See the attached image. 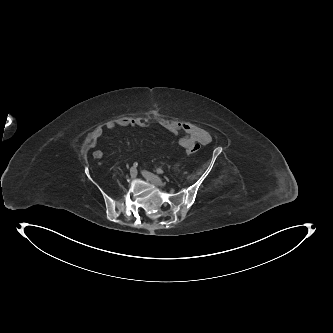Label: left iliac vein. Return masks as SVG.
<instances>
[{"instance_id": "4c4485c4", "label": "left iliac vein", "mask_w": 333, "mask_h": 333, "mask_svg": "<svg viewBox=\"0 0 333 333\" xmlns=\"http://www.w3.org/2000/svg\"><path fill=\"white\" fill-rule=\"evenodd\" d=\"M142 175L149 180L150 182L159 185V186H165L166 182L164 180H162L160 177H158L157 175L148 172V171H142Z\"/></svg>"}]
</instances>
